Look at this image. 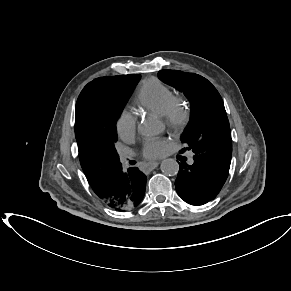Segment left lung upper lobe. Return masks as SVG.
Segmentation results:
<instances>
[{
  "mask_svg": "<svg viewBox=\"0 0 291 291\" xmlns=\"http://www.w3.org/2000/svg\"><path fill=\"white\" fill-rule=\"evenodd\" d=\"M159 78L182 91L191 104L190 121L181 136L195 158L229 172L232 156L230 125L223 100L204 77L178 70H160Z\"/></svg>",
  "mask_w": 291,
  "mask_h": 291,
  "instance_id": "1",
  "label": "left lung upper lobe"
}]
</instances>
